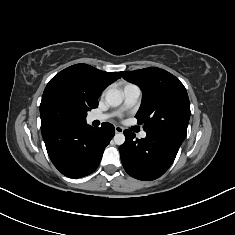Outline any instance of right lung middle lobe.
Listing matches in <instances>:
<instances>
[{"label": "right lung middle lobe", "instance_id": "right-lung-middle-lobe-1", "mask_svg": "<svg viewBox=\"0 0 235 235\" xmlns=\"http://www.w3.org/2000/svg\"><path fill=\"white\" fill-rule=\"evenodd\" d=\"M87 111L89 110L64 88H46L40 104L41 128L84 122Z\"/></svg>", "mask_w": 235, "mask_h": 235}]
</instances>
